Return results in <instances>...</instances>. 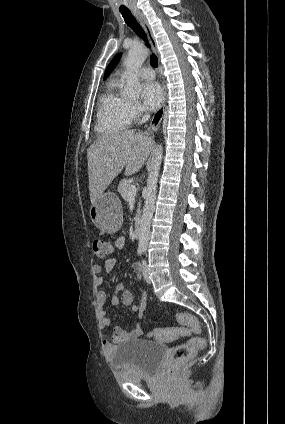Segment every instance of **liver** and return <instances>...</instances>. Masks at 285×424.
<instances>
[{
    "label": "liver",
    "mask_w": 285,
    "mask_h": 424,
    "mask_svg": "<svg viewBox=\"0 0 285 424\" xmlns=\"http://www.w3.org/2000/svg\"><path fill=\"white\" fill-rule=\"evenodd\" d=\"M153 140L133 130L115 131L97 139L87 150L91 203L107 189L125 168V175L138 172L144 165Z\"/></svg>",
    "instance_id": "obj_1"
}]
</instances>
